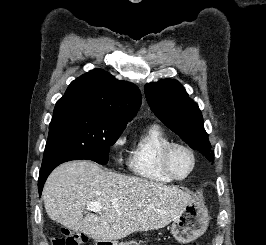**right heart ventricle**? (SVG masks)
<instances>
[{"instance_id": "obj_1", "label": "right heart ventricle", "mask_w": 266, "mask_h": 245, "mask_svg": "<svg viewBox=\"0 0 266 245\" xmlns=\"http://www.w3.org/2000/svg\"><path fill=\"white\" fill-rule=\"evenodd\" d=\"M173 142L162 126L153 123L147 126L131 147L129 167L144 181L154 185H167L173 180L163 169L162 150Z\"/></svg>"}]
</instances>
